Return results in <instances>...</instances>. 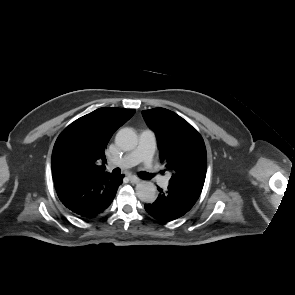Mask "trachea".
Returning a JSON list of instances; mask_svg holds the SVG:
<instances>
[{
    "instance_id": "trachea-1",
    "label": "trachea",
    "mask_w": 295,
    "mask_h": 295,
    "mask_svg": "<svg viewBox=\"0 0 295 295\" xmlns=\"http://www.w3.org/2000/svg\"><path fill=\"white\" fill-rule=\"evenodd\" d=\"M113 173L116 175H119L121 173V170L119 168H115L113 170ZM138 176L143 179H151L152 178V175H150L149 173H146V172H139Z\"/></svg>"
}]
</instances>
